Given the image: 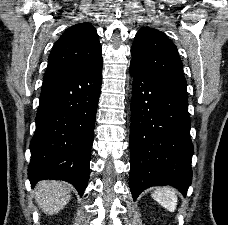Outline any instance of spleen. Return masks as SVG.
I'll list each match as a JSON object with an SVG mask.
<instances>
[{"label":"spleen","instance_id":"obj_1","mask_svg":"<svg viewBox=\"0 0 228 225\" xmlns=\"http://www.w3.org/2000/svg\"><path fill=\"white\" fill-rule=\"evenodd\" d=\"M151 197H153L154 201H157L161 207L170 211V213H174L177 207V195L174 189L171 187H158L155 189L154 193H152Z\"/></svg>","mask_w":228,"mask_h":225}]
</instances>
